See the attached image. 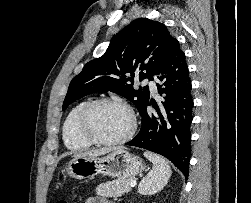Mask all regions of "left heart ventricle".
Masks as SVG:
<instances>
[{"label": "left heart ventricle", "instance_id": "b2bd125f", "mask_svg": "<svg viewBox=\"0 0 251 203\" xmlns=\"http://www.w3.org/2000/svg\"><path fill=\"white\" fill-rule=\"evenodd\" d=\"M129 127V114L117 104L107 103L97 106L89 119L91 133L104 140L120 138L128 131Z\"/></svg>", "mask_w": 251, "mask_h": 203}]
</instances>
